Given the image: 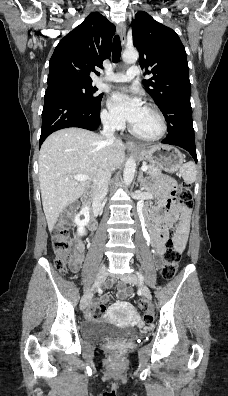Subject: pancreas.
Wrapping results in <instances>:
<instances>
[{
    "instance_id": "obj_1",
    "label": "pancreas",
    "mask_w": 228,
    "mask_h": 396,
    "mask_svg": "<svg viewBox=\"0 0 228 396\" xmlns=\"http://www.w3.org/2000/svg\"><path fill=\"white\" fill-rule=\"evenodd\" d=\"M146 174L150 175V176H160L161 175V169L158 168L155 165H148V169L146 170Z\"/></svg>"
}]
</instances>
